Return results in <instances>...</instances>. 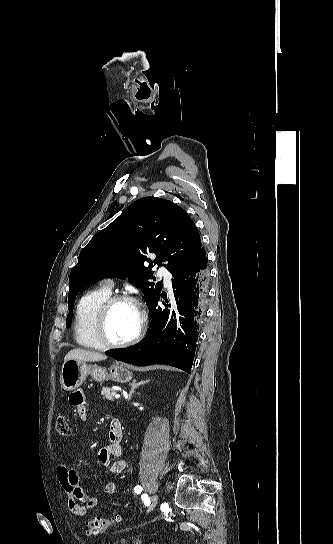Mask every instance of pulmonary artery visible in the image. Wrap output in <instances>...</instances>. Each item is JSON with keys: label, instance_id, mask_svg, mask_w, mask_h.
<instances>
[{"label": "pulmonary artery", "instance_id": "pulmonary-artery-1", "mask_svg": "<svg viewBox=\"0 0 333 544\" xmlns=\"http://www.w3.org/2000/svg\"><path fill=\"white\" fill-rule=\"evenodd\" d=\"M159 275L162 276V277H164V281H165V285H166V286H170V285H171V275H170V273H169L165 268H161V269L159 270ZM105 286L108 287L109 289H111L112 286H113L112 281H111V280H107V281L105 282Z\"/></svg>", "mask_w": 333, "mask_h": 544}]
</instances>
